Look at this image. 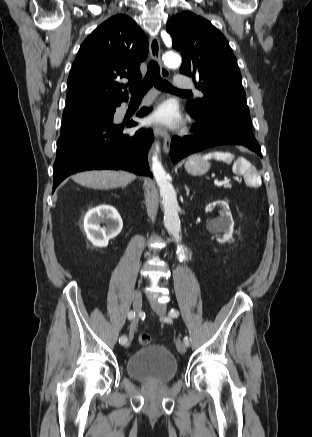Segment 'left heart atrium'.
Wrapping results in <instances>:
<instances>
[{"mask_svg":"<svg viewBox=\"0 0 312 437\" xmlns=\"http://www.w3.org/2000/svg\"><path fill=\"white\" fill-rule=\"evenodd\" d=\"M150 121L175 126L180 122V115L173 104L164 103L151 115Z\"/></svg>","mask_w":312,"mask_h":437,"instance_id":"1","label":"left heart atrium"}]
</instances>
